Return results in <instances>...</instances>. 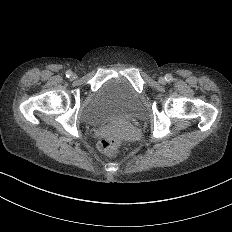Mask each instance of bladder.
Wrapping results in <instances>:
<instances>
[{"label": "bladder", "mask_w": 232, "mask_h": 232, "mask_svg": "<svg viewBox=\"0 0 232 232\" xmlns=\"http://www.w3.org/2000/svg\"><path fill=\"white\" fill-rule=\"evenodd\" d=\"M144 107L139 94L123 77L105 80L81 110V120L98 126L112 119H138Z\"/></svg>", "instance_id": "31cf9c89"}]
</instances>
